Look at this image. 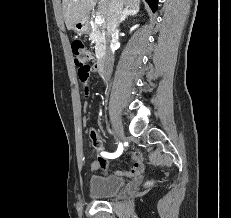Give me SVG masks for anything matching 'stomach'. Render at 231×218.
<instances>
[{"label":"stomach","mask_w":231,"mask_h":218,"mask_svg":"<svg viewBox=\"0 0 231 218\" xmlns=\"http://www.w3.org/2000/svg\"><path fill=\"white\" fill-rule=\"evenodd\" d=\"M88 29L87 20L82 19L73 25V30L78 34H84Z\"/></svg>","instance_id":"obj_1"}]
</instances>
